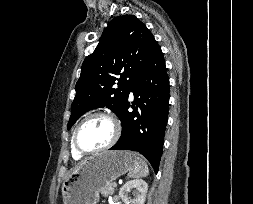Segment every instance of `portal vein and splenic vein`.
Returning <instances> with one entry per match:
<instances>
[{"instance_id":"obj_1","label":"portal vein and splenic vein","mask_w":253,"mask_h":204,"mask_svg":"<svg viewBox=\"0 0 253 204\" xmlns=\"http://www.w3.org/2000/svg\"><path fill=\"white\" fill-rule=\"evenodd\" d=\"M112 186L117 187V183L116 182L112 183Z\"/></svg>"}]
</instances>
